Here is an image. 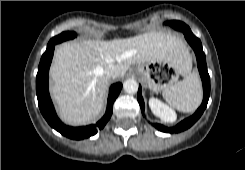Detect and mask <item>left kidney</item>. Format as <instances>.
<instances>
[{
    "label": "left kidney",
    "mask_w": 245,
    "mask_h": 170,
    "mask_svg": "<svg viewBox=\"0 0 245 170\" xmlns=\"http://www.w3.org/2000/svg\"><path fill=\"white\" fill-rule=\"evenodd\" d=\"M149 107L152 113L164 122H174L176 120V113L156 98L149 99Z\"/></svg>",
    "instance_id": "obj_1"
}]
</instances>
